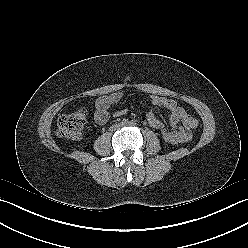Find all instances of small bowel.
Segmentation results:
<instances>
[{"label":"small bowel","instance_id":"c3829d8e","mask_svg":"<svg viewBox=\"0 0 248 248\" xmlns=\"http://www.w3.org/2000/svg\"><path fill=\"white\" fill-rule=\"evenodd\" d=\"M123 97L120 91L99 97L95 102L94 120L99 125L107 123L110 115L109 109L116 105ZM151 108L147 113V121L154 129H162L164 124L156 116L155 109L162 107L170 112V130L178 137V143H183L191 138L192 130L198 126V121L173 99L152 95L150 97ZM181 124V125H179Z\"/></svg>","mask_w":248,"mask_h":248}]
</instances>
